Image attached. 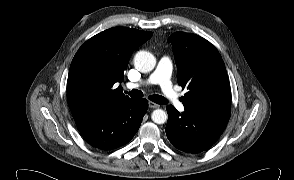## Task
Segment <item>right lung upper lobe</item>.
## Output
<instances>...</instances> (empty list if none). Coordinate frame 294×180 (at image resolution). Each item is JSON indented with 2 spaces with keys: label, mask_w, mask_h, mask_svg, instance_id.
Returning <instances> with one entry per match:
<instances>
[{
  "label": "right lung upper lobe",
  "mask_w": 294,
  "mask_h": 180,
  "mask_svg": "<svg viewBox=\"0 0 294 180\" xmlns=\"http://www.w3.org/2000/svg\"><path fill=\"white\" fill-rule=\"evenodd\" d=\"M153 34L127 27L105 30L86 41L75 54L68 75L67 102L74 120L129 99L122 82L132 52Z\"/></svg>",
  "instance_id": "obj_1"
}]
</instances>
